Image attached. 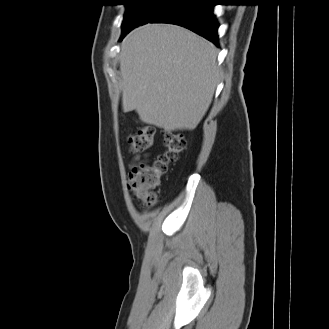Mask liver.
<instances>
[{"label": "liver", "mask_w": 329, "mask_h": 329, "mask_svg": "<svg viewBox=\"0 0 329 329\" xmlns=\"http://www.w3.org/2000/svg\"><path fill=\"white\" fill-rule=\"evenodd\" d=\"M217 49L170 24L131 31L120 52L122 106L166 132L192 130L207 112L219 80Z\"/></svg>", "instance_id": "6515ba94"}]
</instances>
